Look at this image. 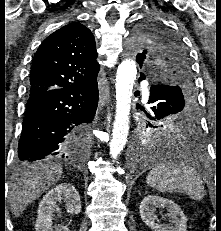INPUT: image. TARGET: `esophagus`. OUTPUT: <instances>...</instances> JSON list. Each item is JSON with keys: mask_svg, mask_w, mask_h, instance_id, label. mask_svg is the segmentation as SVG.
Listing matches in <instances>:
<instances>
[{"mask_svg": "<svg viewBox=\"0 0 221 231\" xmlns=\"http://www.w3.org/2000/svg\"><path fill=\"white\" fill-rule=\"evenodd\" d=\"M102 105H103V106L105 105V101H104V99H102Z\"/></svg>", "mask_w": 221, "mask_h": 231, "instance_id": "esophagus-1", "label": "esophagus"}]
</instances>
